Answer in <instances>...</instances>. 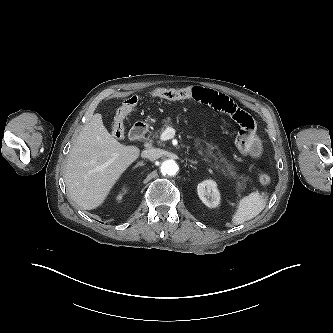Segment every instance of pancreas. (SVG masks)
Wrapping results in <instances>:
<instances>
[{
    "label": "pancreas",
    "mask_w": 333,
    "mask_h": 333,
    "mask_svg": "<svg viewBox=\"0 0 333 333\" xmlns=\"http://www.w3.org/2000/svg\"><path fill=\"white\" fill-rule=\"evenodd\" d=\"M170 127V121H165L163 124V127L156 131L155 133H149L148 134V139L150 141L153 140L154 137L158 136V132H163L164 129ZM196 147H200V149L198 150L199 154H201L202 156H204L207 160L208 158H211L214 160V164L216 166L217 169H220V171L224 174V175H231L232 177H234L235 179H237V183H236V191L239 194L242 190H244V188L246 187V181L244 179L243 176H238L237 173L234 170V166L228 162V160H226L224 157L218 156L217 154L214 153V146L212 144L207 143V147L205 149H203L201 147V140L200 139H196Z\"/></svg>",
    "instance_id": "pancreas-1"
}]
</instances>
